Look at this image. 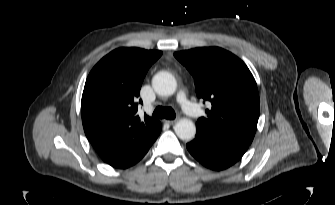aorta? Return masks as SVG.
I'll return each instance as SVG.
<instances>
[{"mask_svg": "<svg viewBox=\"0 0 335 205\" xmlns=\"http://www.w3.org/2000/svg\"><path fill=\"white\" fill-rule=\"evenodd\" d=\"M155 92L161 96L173 95L177 88L175 77L167 72L160 71L152 79ZM175 133L181 140H192L196 134L195 124L189 119H180L175 125Z\"/></svg>", "mask_w": 335, "mask_h": 205, "instance_id": "obj_1", "label": "aorta"}]
</instances>
